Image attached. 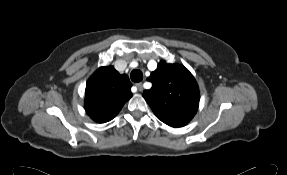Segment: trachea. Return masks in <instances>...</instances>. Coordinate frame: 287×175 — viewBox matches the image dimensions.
Masks as SVG:
<instances>
[{"label":"trachea","instance_id":"3493384b","mask_svg":"<svg viewBox=\"0 0 287 175\" xmlns=\"http://www.w3.org/2000/svg\"><path fill=\"white\" fill-rule=\"evenodd\" d=\"M130 77H131V80L133 82L138 83V82L142 81L143 74L140 70L134 69L131 71Z\"/></svg>","mask_w":287,"mask_h":175}]
</instances>
